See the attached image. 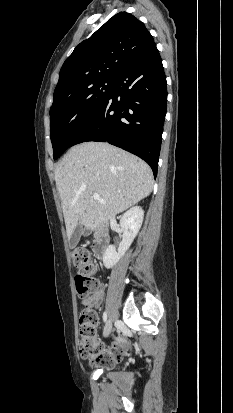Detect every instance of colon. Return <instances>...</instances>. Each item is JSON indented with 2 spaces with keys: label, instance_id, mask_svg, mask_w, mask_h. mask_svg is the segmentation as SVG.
<instances>
[{
  "label": "colon",
  "instance_id": "colon-1",
  "mask_svg": "<svg viewBox=\"0 0 233 413\" xmlns=\"http://www.w3.org/2000/svg\"><path fill=\"white\" fill-rule=\"evenodd\" d=\"M73 263L78 272L75 276V287L77 294L81 298H86L98 287L96 273L98 267L91 258L88 249L77 248L72 252ZM97 323L98 317L94 306H87L79 317V352L83 358L92 359L101 366H109L121 358L101 356L100 344L97 340Z\"/></svg>",
  "mask_w": 233,
  "mask_h": 413
}]
</instances>
